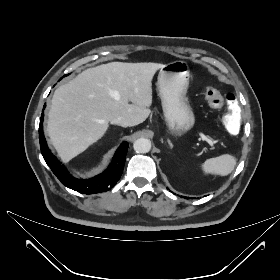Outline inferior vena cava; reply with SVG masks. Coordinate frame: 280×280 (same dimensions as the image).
Returning <instances> with one entry per match:
<instances>
[{
  "label": "inferior vena cava",
  "instance_id": "obj_1",
  "mask_svg": "<svg viewBox=\"0 0 280 280\" xmlns=\"http://www.w3.org/2000/svg\"><path fill=\"white\" fill-rule=\"evenodd\" d=\"M112 124H117L120 125L122 127H128L130 126L129 121L125 118V117H118L115 118L114 120L111 121Z\"/></svg>",
  "mask_w": 280,
  "mask_h": 280
}]
</instances>
